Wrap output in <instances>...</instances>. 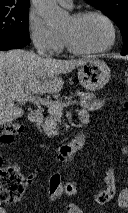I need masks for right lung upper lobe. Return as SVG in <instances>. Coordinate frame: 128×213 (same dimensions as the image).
Here are the masks:
<instances>
[{
	"mask_svg": "<svg viewBox=\"0 0 128 213\" xmlns=\"http://www.w3.org/2000/svg\"><path fill=\"white\" fill-rule=\"evenodd\" d=\"M30 0H0V7L29 6Z\"/></svg>",
	"mask_w": 128,
	"mask_h": 213,
	"instance_id": "1",
	"label": "right lung upper lobe"
}]
</instances>
